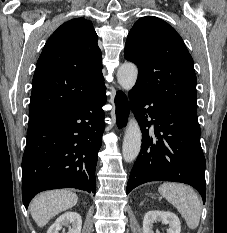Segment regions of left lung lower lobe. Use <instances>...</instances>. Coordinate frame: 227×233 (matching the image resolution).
Listing matches in <instances>:
<instances>
[{
	"label": "left lung lower lobe",
	"mask_w": 227,
	"mask_h": 233,
	"mask_svg": "<svg viewBox=\"0 0 227 233\" xmlns=\"http://www.w3.org/2000/svg\"><path fill=\"white\" fill-rule=\"evenodd\" d=\"M129 96L142 130V146L126 194L146 182L174 181L193 186L205 202V157L197 120L135 88ZM152 124L154 130H149Z\"/></svg>",
	"instance_id": "left-lung-lower-lobe-1"
}]
</instances>
